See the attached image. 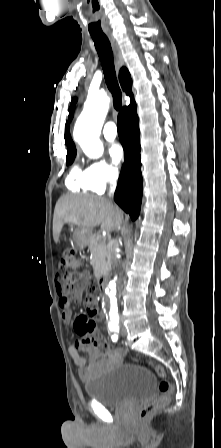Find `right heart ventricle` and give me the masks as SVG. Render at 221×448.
Returning <instances> with one entry per match:
<instances>
[{
    "label": "right heart ventricle",
    "instance_id": "1",
    "mask_svg": "<svg viewBox=\"0 0 221 448\" xmlns=\"http://www.w3.org/2000/svg\"><path fill=\"white\" fill-rule=\"evenodd\" d=\"M66 185L72 191L89 190L85 182L84 172L77 165H74L68 174Z\"/></svg>",
    "mask_w": 221,
    "mask_h": 448
}]
</instances>
